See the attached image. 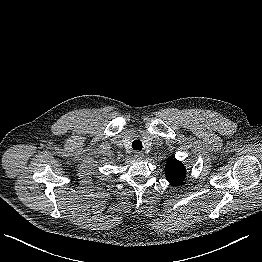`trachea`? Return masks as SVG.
<instances>
[{"instance_id": "3493384b", "label": "trachea", "mask_w": 262, "mask_h": 262, "mask_svg": "<svg viewBox=\"0 0 262 262\" xmlns=\"http://www.w3.org/2000/svg\"><path fill=\"white\" fill-rule=\"evenodd\" d=\"M132 148L134 150H141L143 148L142 142L138 139L134 140L133 143H132Z\"/></svg>"}]
</instances>
